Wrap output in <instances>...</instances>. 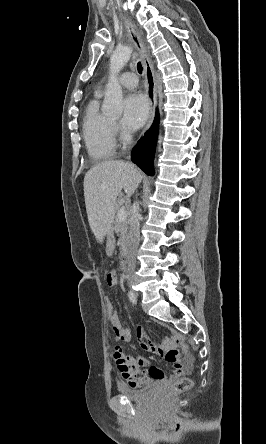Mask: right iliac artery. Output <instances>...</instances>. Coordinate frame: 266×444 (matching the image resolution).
I'll use <instances>...</instances> for the list:
<instances>
[{
    "mask_svg": "<svg viewBox=\"0 0 266 444\" xmlns=\"http://www.w3.org/2000/svg\"><path fill=\"white\" fill-rule=\"evenodd\" d=\"M128 297H129V300H130L133 304H136V302H137V300H136V296H135V294H134L132 291H129V292H128Z\"/></svg>",
    "mask_w": 266,
    "mask_h": 444,
    "instance_id": "1",
    "label": "right iliac artery"
}]
</instances>
